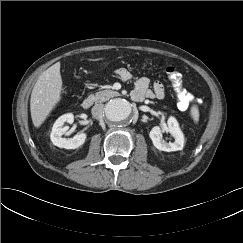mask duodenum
<instances>
[{"label": "duodenum", "mask_w": 243, "mask_h": 243, "mask_svg": "<svg viewBox=\"0 0 243 243\" xmlns=\"http://www.w3.org/2000/svg\"><path fill=\"white\" fill-rule=\"evenodd\" d=\"M93 104V100L91 98H85L83 101H82V107L84 109H89Z\"/></svg>", "instance_id": "1"}]
</instances>
